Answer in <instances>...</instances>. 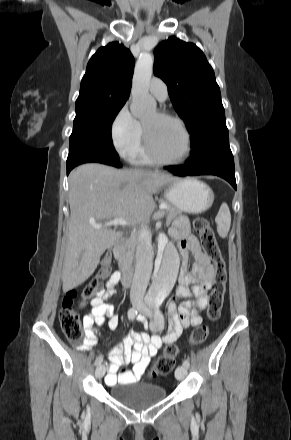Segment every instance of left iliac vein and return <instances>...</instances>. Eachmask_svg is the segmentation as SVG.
I'll return each mask as SVG.
<instances>
[{
    "label": "left iliac vein",
    "mask_w": 291,
    "mask_h": 440,
    "mask_svg": "<svg viewBox=\"0 0 291 440\" xmlns=\"http://www.w3.org/2000/svg\"><path fill=\"white\" fill-rule=\"evenodd\" d=\"M139 312L143 315H145L146 317L152 318L153 317V312L147 308L146 306H140L138 308ZM187 367L183 366H178L175 370V377L177 380H183L186 376H187Z\"/></svg>",
    "instance_id": "4c4485c4"
}]
</instances>
